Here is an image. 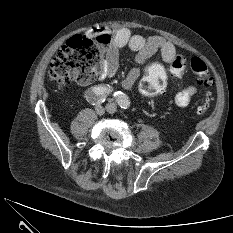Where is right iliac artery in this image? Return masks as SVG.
Here are the masks:
<instances>
[{"label": "right iliac artery", "mask_w": 233, "mask_h": 233, "mask_svg": "<svg viewBox=\"0 0 233 233\" xmlns=\"http://www.w3.org/2000/svg\"><path fill=\"white\" fill-rule=\"evenodd\" d=\"M113 89L109 85H102L94 87L91 91L87 93V100L93 104H102L105 102L107 95L112 92Z\"/></svg>", "instance_id": "right-iliac-artery-1"}]
</instances>
